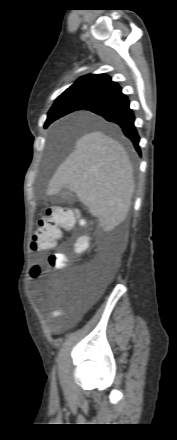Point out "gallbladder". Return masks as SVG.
Segmentation results:
<instances>
[{
	"instance_id": "bac80fb5",
	"label": "gallbladder",
	"mask_w": 177,
	"mask_h": 440,
	"mask_svg": "<svg viewBox=\"0 0 177 440\" xmlns=\"http://www.w3.org/2000/svg\"><path fill=\"white\" fill-rule=\"evenodd\" d=\"M73 200H74V195L68 192L66 189H61L54 199V201L56 202H71Z\"/></svg>"
}]
</instances>
